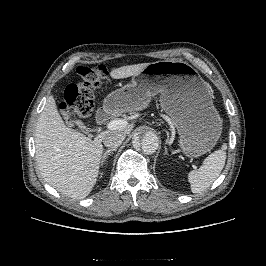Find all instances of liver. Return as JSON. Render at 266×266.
I'll use <instances>...</instances> for the list:
<instances>
[{"mask_svg": "<svg viewBox=\"0 0 266 266\" xmlns=\"http://www.w3.org/2000/svg\"><path fill=\"white\" fill-rule=\"evenodd\" d=\"M149 63L113 69V79H123L140 73ZM134 125L115 130L129 134ZM105 131L94 140L68 128L58 113L54 97L47 98L37 121L35 150L38 169L44 180L62 195L73 199L87 197L96 184L103 153Z\"/></svg>", "mask_w": 266, "mask_h": 266, "instance_id": "obj_1", "label": "liver"}]
</instances>
